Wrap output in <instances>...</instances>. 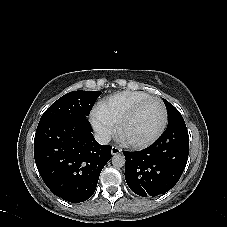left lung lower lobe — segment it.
Segmentation results:
<instances>
[{
	"label": "left lung lower lobe",
	"mask_w": 227,
	"mask_h": 227,
	"mask_svg": "<svg viewBox=\"0 0 227 227\" xmlns=\"http://www.w3.org/2000/svg\"><path fill=\"white\" fill-rule=\"evenodd\" d=\"M123 153L125 179L135 194L155 197L168 192L179 181L188 160L189 135L184 119L168 123L150 147Z\"/></svg>",
	"instance_id": "obj_1"
}]
</instances>
